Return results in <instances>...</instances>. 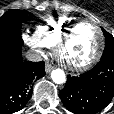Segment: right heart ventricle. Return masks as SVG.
I'll return each instance as SVG.
<instances>
[{
    "label": "right heart ventricle",
    "instance_id": "1",
    "mask_svg": "<svg viewBox=\"0 0 114 114\" xmlns=\"http://www.w3.org/2000/svg\"><path fill=\"white\" fill-rule=\"evenodd\" d=\"M76 20L72 16H59L37 25L34 38L38 44L54 48L66 29Z\"/></svg>",
    "mask_w": 114,
    "mask_h": 114
}]
</instances>
